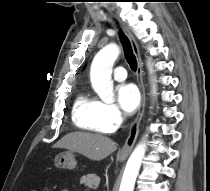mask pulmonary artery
Instances as JSON below:
<instances>
[{
	"label": "pulmonary artery",
	"mask_w": 210,
	"mask_h": 191,
	"mask_svg": "<svg viewBox=\"0 0 210 191\" xmlns=\"http://www.w3.org/2000/svg\"><path fill=\"white\" fill-rule=\"evenodd\" d=\"M113 77L117 81H124L127 78L126 69L122 66H118L113 71Z\"/></svg>",
	"instance_id": "pulmonary-artery-1"
}]
</instances>
